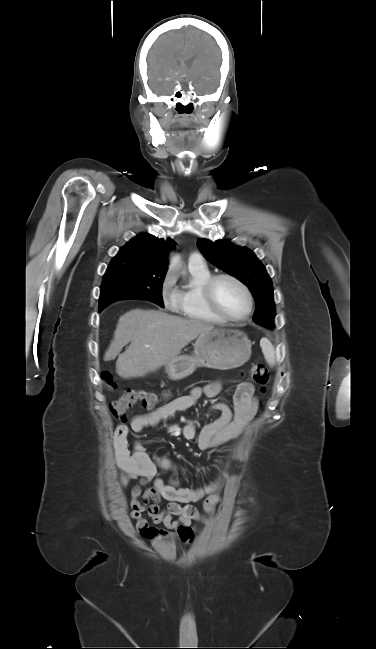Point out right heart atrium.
<instances>
[{
    "label": "right heart atrium",
    "instance_id": "right-heart-atrium-1",
    "mask_svg": "<svg viewBox=\"0 0 376 649\" xmlns=\"http://www.w3.org/2000/svg\"><path fill=\"white\" fill-rule=\"evenodd\" d=\"M174 283V273L172 271L166 272L161 282L160 295L165 307L171 310H174L178 303V294Z\"/></svg>",
    "mask_w": 376,
    "mask_h": 649
}]
</instances>
